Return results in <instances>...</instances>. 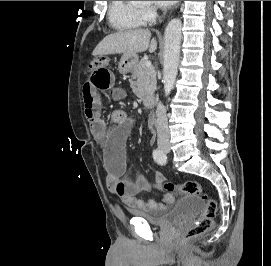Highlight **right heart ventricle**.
Returning <instances> with one entry per match:
<instances>
[{
  "mask_svg": "<svg viewBox=\"0 0 271 266\" xmlns=\"http://www.w3.org/2000/svg\"><path fill=\"white\" fill-rule=\"evenodd\" d=\"M111 26L117 30H133L144 25L142 10L130 1H111L108 10Z\"/></svg>",
  "mask_w": 271,
  "mask_h": 266,
  "instance_id": "right-heart-ventricle-1",
  "label": "right heart ventricle"
}]
</instances>
